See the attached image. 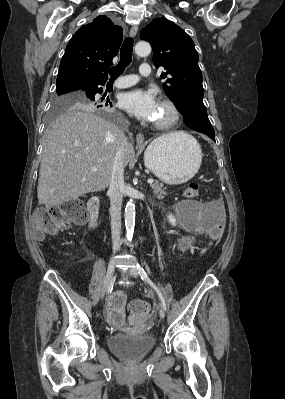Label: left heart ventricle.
Listing matches in <instances>:
<instances>
[{
    "label": "left heart ventricle",
    "mask_w": 285,
    "mask_h": 399,
    "mask_svg": "<svg viewBox=\"0 0 285 399\" xmlns=\"http://www.w3.org/2000/svg\"><path fill=\"white\" fill-rule=\"evenodd\" d=\"M170 111L167 107L159 104L158 105V111L156 114L155 119L153 120L154 122H164L167 121L170 118Z\"/></svg>",
    "instance_id": "b2bd125f"
}]
</instances>
